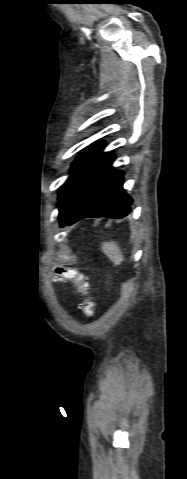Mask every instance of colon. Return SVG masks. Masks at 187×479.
Returning a JSON list of instances; mask_svg holds the SVG:
<instances>
[{
	"label": "colon",
	"instance_id": "obj_1",
	"mask_svg": "<svg viewBox=\"0 0 187 479\" xmlns=\"http://www.w3.org/2000/svg\"><path fill=\"white\" fill-rule=\"evenodd\" d=\"M56 273L58 276L73 279L76 292L83 296V301L81 304L83 313L87 318H92L95 315V304L92 298L89 296L87 284L83 282V280L74 270L60 267L57 268Z\"/></svg>",
	"mask_w": 187,
	"mask_h": 479
}]
</instances>
